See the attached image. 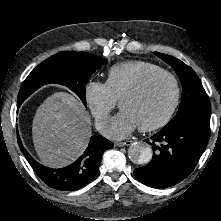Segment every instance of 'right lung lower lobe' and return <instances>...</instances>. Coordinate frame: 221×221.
Masks as SVG:
<instances>
[{
	"label": "right lung lower lobe",
	"mask_w": 221,
	"mask_h": 221,
	"mask_svg": "<svg viewBox=\"0 0 221 221\" xmlns=\"http://www.w3.org/2000/svg\"><path fill=\"white\" fill-rule=\"evenodd\" d=\"M19 147L38 177L49 187L61 191H74L89 183L97 174L103 153L113 143L101 135L92 136L85 152L71 165L52 169L35 161L23 147L18 136Z\"/></svg>",
	"instance_id": "obj_1"
}]
</instances>
